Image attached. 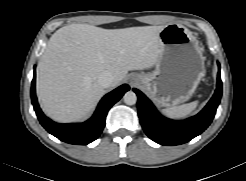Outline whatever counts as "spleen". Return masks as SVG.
I'll use <instances>...</instances> for the list:
<instances>
[{
    "mask_svg": "<svg viewBox=\"0 0 246 181\" xmlns=\"http://www.w3.org/2000/svg\"><path fill=\"white\" fill-rule=\"evenodd\" d=\"M197 105H198V101H194L179 106L167 107L162 112L167 117L180 119L190 115L196 109Z\"/></svg>",
    "mask_w": 246,
    "mask_h": 181,
    "instance_id": "obj_1",
    "label": "spleen"
}]
</instances>
